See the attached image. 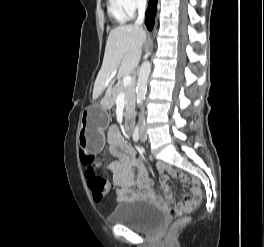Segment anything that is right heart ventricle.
<instances>
[{
	"mask_svg": "<svg viewBox=\"0 0 264 247\" xmlns=\"http://www.w3.org/2000/svg\"><path fill=\"white\" fill-rule=\"evenodd\" d=\"M109 11L111 15L120 22H124L129 18V15L121 9L116 0H110Z\"/></svg>",
	"mask_w": 264,
	"mask_h": 247,
	"instance_id": "e07e8e85",
	"label": "right heart ventricle"
}]
</instances>
